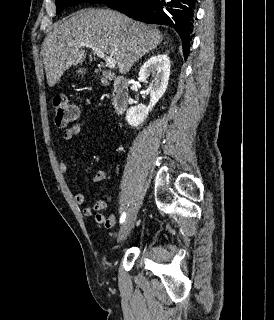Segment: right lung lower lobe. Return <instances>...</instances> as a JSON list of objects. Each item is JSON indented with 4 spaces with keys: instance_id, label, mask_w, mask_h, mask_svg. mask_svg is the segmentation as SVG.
<instances>
[{
    "instance_id": "right-lung-lower-lobe-1",
    "label": "right lung lower lobe",
    "mask_w": 274,
    "mask_h": 320,
    "mask_svg": "<svg viewBox=\"0 0 274 320\" xmlns=\"http://www.w3.org/2000/svg\"><path fill=\"white\" fill-rule=\"evenodd\" d=\"M197 0H111L106 5L149 24L173 27L182 40L184 58L190 51Z\"/></svg>"
}]
</instances>
